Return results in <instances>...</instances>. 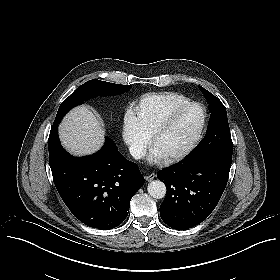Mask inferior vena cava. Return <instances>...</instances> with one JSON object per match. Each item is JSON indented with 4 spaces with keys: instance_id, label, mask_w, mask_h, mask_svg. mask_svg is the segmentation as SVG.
<instances>
[{
    "instance_id": "obj_1",
    "label": "inferior vena cava",
    "mask_w": 280,
    "mask_h": 280,
    "mask_svg": "<svg viewBox=\"0 0 280 280\" xmlns=\"http://www.w3.org/2000/svg\"><path fill=\"white\" fill-rule=\"evenodd\" d=\"M129 152L133 156V158H135V159H140L145 154V151H144L143 147H141L137 144H132L129 147Z\"/></svg>"
}]
</instances>
